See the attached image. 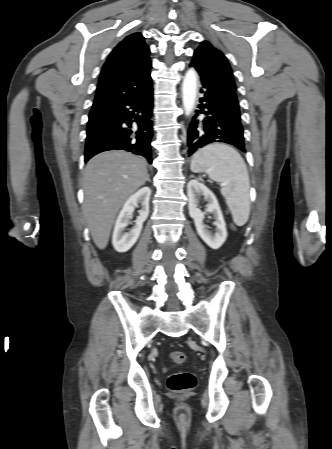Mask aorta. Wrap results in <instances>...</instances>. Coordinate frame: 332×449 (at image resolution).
<instances>
[{
    "instance_id": "1",
    "label": "aorta",
    "mask_w": 332,
    "mask_h": 449,
    "mask_svg": "<svg viewBox=\"0 0 332 449\" xmlns=\"http://www.w3.org/2000/svg\"><path fill=\"white\" fill-rule=\"evenodd\" d=\"M197 94V74L194 69H189L182 83V102L185 114L189 116L193 111Z\"/></svg>"
}]
</instances>
